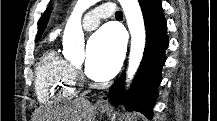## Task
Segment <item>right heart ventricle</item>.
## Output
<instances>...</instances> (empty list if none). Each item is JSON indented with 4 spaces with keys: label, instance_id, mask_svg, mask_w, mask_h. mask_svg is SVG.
Here are the masks:
<instances>
[{
    "label": "right heart ventricle",
    "instance_id": "right-heart-ventricle-1",
    "mask_svg": "<svg viewBox=\"0 0 217 121\" xmlns=\"http://www.w3.org/2000/svg\"><path fill=\"white\" fill-rule=\"evenodd\" d=\"M76 77L72 65L55 49L47 50L36 67L35 92L41 103L64 101L75 94Z\"/></svg>",
    "mask_w": 217,
    "mask_h": 121
}]
</instances>
